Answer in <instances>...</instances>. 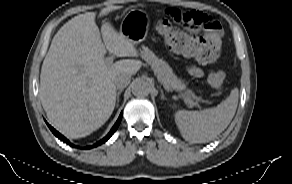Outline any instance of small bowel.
I'll use <instances>...</instances> for the list:
<instances>
[{
  "label": "small bowel",
  "instance_id": "c3829d8e",
  "mask_svg": "<svg viewBox=\"0 0 292 184\" xmlns=\"http://www.w3.org/2000/svg\"><path fill=\"white\" fill-rule=\"evenodd\" d=\"M214 23L215 26L213 28H204L203 36L207 41L212 42L216 47L220 48L222 43V29L217 21H214ZM188 70L195 77H201L203 75V71L197 66H190Z\"/></svg>",
  "mask_w": 292,
  "mask_h": 184
}]
</instances>
